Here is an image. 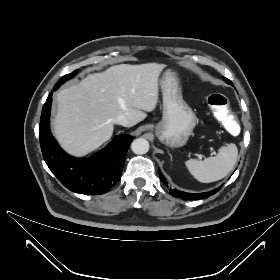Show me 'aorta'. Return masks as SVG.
Wrapping results in <instances>:
<instances>
[{
    "label": "aorta",
    "instance_id": "obj_1",
    "mask_svg": "<svg viewBox=\"0 0 280 280\" xmlns=\"http://www.w3.org/2000/svg\"><path fill=\"white\" fill-rule=\"evenodd\" d=\"M131 149L135 154H145L149 150V142L144 138H137L132 142Z\"/></svg>",
    "mask_w": 280,
    "mask_h": 280
}]
</instances>
